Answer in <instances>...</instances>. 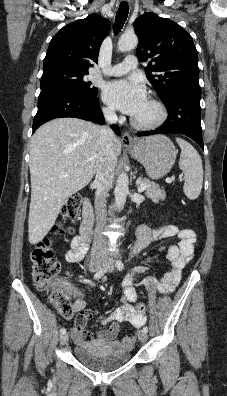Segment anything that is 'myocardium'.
Segmentation results:
<instances>
[{
  "label": "myocardium",
  "instance_id": "1",
  "mask_svg": "<svg viewBox=\"0 0 227 396\" xmlns=\"http://www.w3.org/2000/svg\"><path fill=\"white\" fill-rule=\"evenodd\" d=\"M149 102L157 109V117L149 122H141L135 118H132L131 124L133 127L140 130H153L163 125L167 120L168 110L165 104L157 98H150Z\"/></svg>",
  "mask_w": 227,
  "mask_h": 396
}]
</instances>
